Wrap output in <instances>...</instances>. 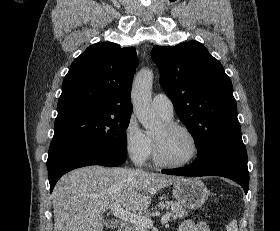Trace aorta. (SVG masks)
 <instances>
[{
    "label": "aorta",
    "mask_w": 280,
    "mask_h": 231,
    "mask_svg": "<svg viewBox=\"0 0 280 231\" xmlns=\"http://www.w3.org/2000/svg\"><path fill=\"white\" fill-rule=\"evenodd\" d=\"M153 78L152 70L142 68L134 78L131 92L134 114L141 125L150 131H155L161 125V119L154 114L151 104Z\"/></svg>",
    "instance_id": "762f6f07"
}]
</instances>
